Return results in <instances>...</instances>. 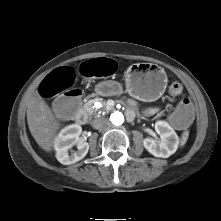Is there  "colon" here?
<instances>
[{
  "instance_id": "1",
  "label": "colon",
  "mask_w": 221,
  "mask_h": 221,
  "mask_svg": "<svg viewBox=\"0 0 221 221\" xmlns=\"http://www.w3.org/2000/svg\"><path fill=\"white\" fill-rule=\"evenodd\" d=\"M115 63L111 59L103 58L90 61L82 66V72L87 76H107L113 73ZM75 72L69 67H62L45 77L39 91L43 97H54L68 89L75 81ZM183 92L180 83L174 82L169 86V93L177 96ZM83 96L76 89H69L62 93L54 102L52 116L57 121H64L72 116L81 105ZM195 105L185 97L178 108L171 113L170 122L177 128H185L194 122Z\"/></svg>"
}]
</instances>
